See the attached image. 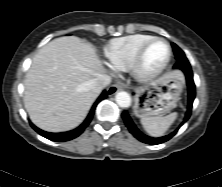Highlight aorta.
Instances as JSON below:
<instances>
[{"instance_id": "1", "label": "aorta", "mask_w": 222, "mask_h": 187, "mask_svg": "<svg viewBox=\"0 0 222 187\" xmlns=\"http://www.w3.org/2000/svg\"><path fill=\"white\" fill-rule=\"evenodd\" d=\"M116 103L122 107V108H127L131 105V97L129 93L120 91L116 94L115 96Z\"/></svg>"}]
</instances>
